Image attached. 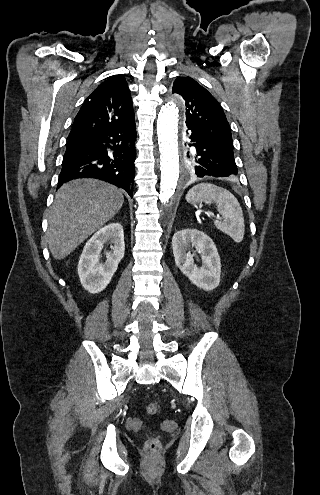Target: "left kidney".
Wrapping results in <instances>:
<instances>
[{"label":"left kidney","mask_w":320,"mask_h":495,"mask_svg":"<svg viewBox=\"0 0 320 495\" xmlns=\"http://www.w3.org/2000/svg\"><path fill=\"white\" fill-rule=\"evenodd\" d=\"M191 247H195L201 255L200 268L194 264V254L188 251ZM172 248L176 265L194 285L206 291H211L219 285L220 256L209 236L196 229H184L174 234Z\"/></svg>","instance_id":"1"}]
</instances>
